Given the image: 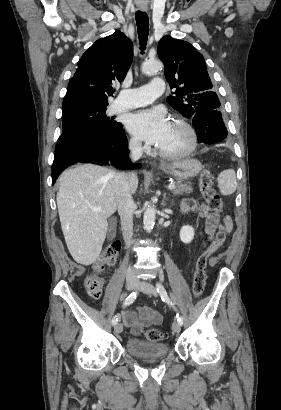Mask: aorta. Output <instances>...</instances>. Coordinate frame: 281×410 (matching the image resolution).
<instances>
[{
    "instance_id": "aorta-1",
    "label": "aorta",
    "mask_w": 281,
    "mask_h": 410,
    "mask_svg": "<svg viewBox=\"0 0 281 410\" xmlns=\"http://www.w3.org/2000/svg\"><path fill=\"white\" fill-rule=\"evenodd\" d=\"M163 65L158 60H149L143 63L142 72L146 75H153L162 69ZM156 208L149 204L144 212L143 224L146 232H151L155 224Z\"/></svg>"
}]
</instances>
